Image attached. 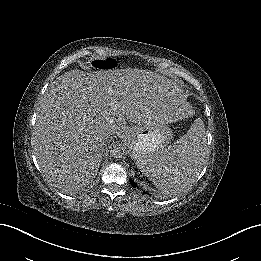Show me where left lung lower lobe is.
<instances>
[{
  "label": "left lung lower lobe",
  "instance_id": "left-lung-lower-lobe-1",
  "mask_svg": "<svg viewBox=\"0 0 261 261\" xmlns=\"http://www.w3.org/2000/svg\"><path fill=\"white\" fill-rule=\"evenodd\" d=\"M130 183L134 188L137 187V184L133 180H130Z\"/></svg>",
  "mask_w": 261,
  "mask_h": 261
}]
</instances>
